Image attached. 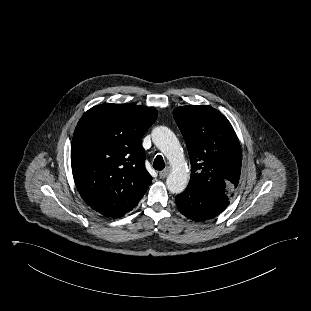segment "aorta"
Wrapping results in <instances>:
<instances>
[{
	"label": "aorta",
	"mask_w": 311,
	"mask_h": 311,
	"mask_svg": "<svg viewBox=\"0 0 311 311\" xmlns=\"http://www.w3.org/2000/svg\"><path fill=\"white\" fill-rule=\"evenodd\" d=\"M152 141L171 164L166 179L168 190L174 194L182 193L188 184V170L177 137L168 127L158 126L152 131Z\"/></svg>",
	"instance_id": "aorta-1"
}]
</instances>
